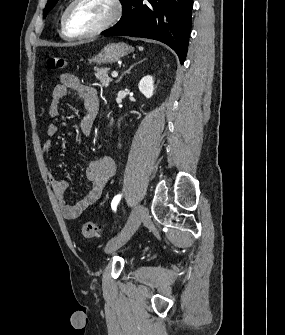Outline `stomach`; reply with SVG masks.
Wrapping results in <instances>:
<instances>
[{
    "label": "stomach",
    "mask_w": 285,
    "mask_h": 335,
    "mask_svg": "<svg viewBox=\"0 0 285 335\" xmlns=\"http://www.w3.org/2000/svg\"><path fill=\"white\" fill-rule=\"evenodd\" d=\"M130 52H133L132 48L127 46V44H122V42H119V44H107L89 62H94V64H114V62H118L123 56L130 54Z\"/></svg>",
    "instance_id": "obj_1"
}]
</instances>
